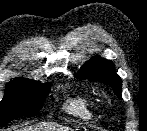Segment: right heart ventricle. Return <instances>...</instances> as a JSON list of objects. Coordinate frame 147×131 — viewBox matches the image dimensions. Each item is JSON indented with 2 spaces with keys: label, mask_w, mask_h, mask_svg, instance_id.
Returning <instances> with one entry per match:
<instances>
[{
  "label": "right heart ventricle",
  "mask_w": 147,
  "mask_h": 131,
  "mask_svg": "<svg viewBox=\"0 0 147 131\" xmlns=\"http://www.w3.org/2000/svg\"><path fill=\"white\" fill-rule=\"evenodd\" d=\"M96 101L88 94H76L68 96L63 109L68 114L82 120H90L94 115Z\"/></svg>",
  "instance_id": "right-heart-ventricle-1"
}]
</instances>
